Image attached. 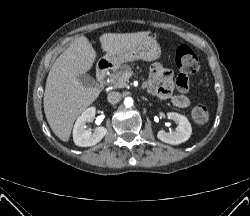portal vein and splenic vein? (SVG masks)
I'll return each mask as SVG.
<instances>
[{"label": "portal vein and splenic vein", "instance_id": "portal-vein-and-splenic-vein-1", "mask_svg": "<svg viewBox=\"0 0 250 216\" xmlns=\"http://www.w3.org/2000/svg\"><path fill=\"white\" fill-rule=\"evenodd\" d=\"M124 76H125V78H127L128 77V73H126Z\"/></svg>", "mask_w": 250, "mask_h": 216}]
</instances>
